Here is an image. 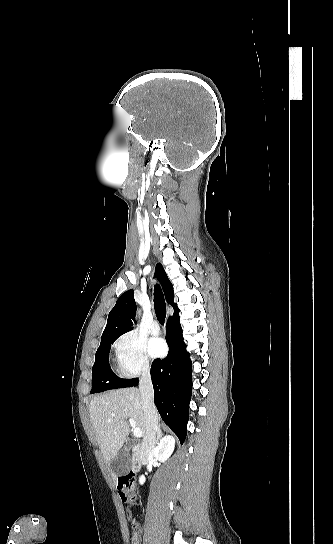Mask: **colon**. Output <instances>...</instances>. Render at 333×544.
Listing matches in <instances>:
<instances>
[{
	"instance_id": "1",
	"label": "colon",
	"mask_w": 333,
	"mask_h": 544,
	"mask_svg": "<svg viewBox=\"0 0 333 544\" xmlns=\"http://www.w3.org/2000/svg\"><path fill=\"white\" fill-rule=\"evenodd\" d=\"M118 487L123 503L128 505L134 504L136 499V483L134 475L130 473L126 476L120 477ZM140 540L141 530L138 525H135L131 543L140 544Z\"/></svg>"
}]
</instances>
